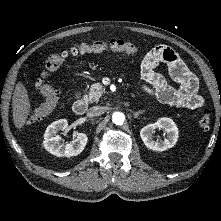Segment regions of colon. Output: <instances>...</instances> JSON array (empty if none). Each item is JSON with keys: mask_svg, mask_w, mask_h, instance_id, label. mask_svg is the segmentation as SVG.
Masks as SVG:
<instances>
[{"mask_svg": "<svg viewBox=\"0 0 221 221\" xmlns=\"http://www.w3.org/2000/svg\"><path fill=\"white\" fill-rule=\"evenodd\" d=\"M104 51L121 52L135 55L138 53L139 49L132 42L118 39H112L110 41L83 42L73 45L69 50H63L61 52L50 55L44 64L42 76L45 77L51 72L57 70L69 55V53L73 55H82L86 53H100ZM36 89L44 97V102L30 116V122H35L45 118L52 110L57 107L59 102V91L55 87L44 84L42 80H38L36 82ZM199 125L205 131L210 129L211 116L209 113H205L201 117Z\"/></svg>", "mask_w": 221, "mask_h": 221, "instance_id": "5ec220e1", "label": "colon"}]
</instances>
